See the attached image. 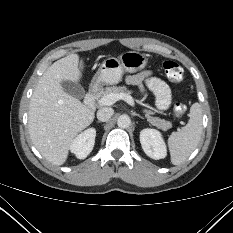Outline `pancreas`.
I'll use <instances>...</instances> for the list:
<instances>
[{"instance_id": "1", "label": "pancreas", "mask_w": 233, "mask_h": 233, "mask_svg": "<svg viewBox=\"0 0 233 233\" xmlns=\"http://www.w3.org/2000/svg\"><path fill=\"white\" fill-rule=\"evenodd\" d=\"M130 93V91L127 90L126 86H112V87H106L105 91L102 92V96H106L109 94H117V93ZM145 117L147 118V121L152 124L153 126L162 129L164 131L171 128L172 124L169 121L162 120L158 117H152L153 114L150 110H144Z\"/></svg>"}]
</instances>
